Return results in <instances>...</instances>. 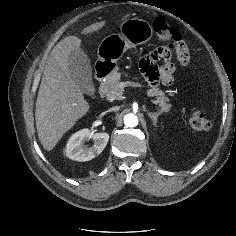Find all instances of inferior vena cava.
Masks as SVG:
<instances>
[{"label": "inferior vena cava", "instance_id": "1", "mask_svg": "<svg viewBox=\"0 0 236 236\" xmlns=\"http://www.w3.org/2000/svg\"><path fill=\"white\" fill-rule=\"evenodd\" d=\"M118 110H119V106H114L109 109V111H118Z\"/></svg>", "mask_w": 236, "mask_h": 236}]
</instances>
